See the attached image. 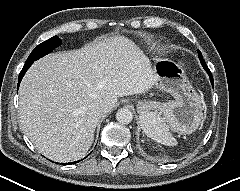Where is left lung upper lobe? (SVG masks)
<instances>
[{
    "mask_svg": "<svg viewBox=\"0 0 240 191\" xmlns=\"http://www.w3.org/2000/svg\"><path fill=\"white\" fill-rule=\"evenodd\" d=\"M198 55H199V57H202V54H201V52H200V51H198Z\"/></svg>",
    "mask_w": 240,
    "mask_h": 191,
    "instance_id": "obj_1",
    "label": "left lung upper lobe"
}]
</instances>
